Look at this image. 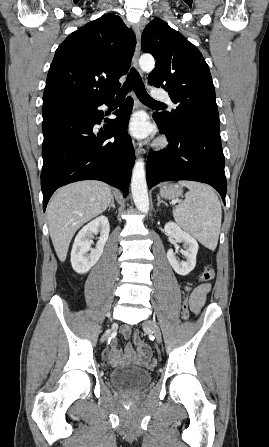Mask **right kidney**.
I'll list each match as a JSON object with an SVG mask.
<instances>
[{
	"label": "right kidney",
	"mask_w": 269,
	"mask_h": 447,
	"mask_svg": "<svg viewBox=\"0 0 269 447\" xmlns=\"http://www.w3.org/2000/svg\"><path fill=\"white\" fill-rule=\"evenodd\" d=\"M98 231H100V237L94 249H91L90 245L93 241L90 237L93 233H98ZM109 231L110 224L106 216L95 218V220L84 225V227L78 231L71 251L72 267L77 273H86V271L91 269L92 265H95L96 261H98L100 255L103 253ZM88 251H90V253H88Z\"/></svg>",
	"instance_id": "1"
}]
</instances>
